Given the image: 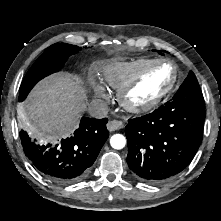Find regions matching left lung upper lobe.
Instances as JSON below:
<instances>
[{
    "label": "left lung upper lobe",
    "mask_w": 221,
    "mask_h": 221,
    "mask_svg": "<svg viewBox=\"0 0 221 221\" xmlns=\"http://www.w3.org/2000/svg\"><path fill=\"white\" fill-rule=\"evenodd\" d=\"M176 108H197L205 110L204 98L195 74L190 71L170 102Z\"/></svg>",
    "instance_id": "1"
}]
</instances>
